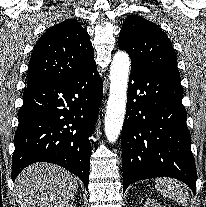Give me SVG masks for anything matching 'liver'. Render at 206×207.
Here are the masks:
<instances>
[{
	"mask_svg": "<svg viewBox=\"0 0 206 207\" xmlns=\"http://www.w3.org/2000/svg\"><path fill=\"white\" fill-rule=\"evenodd\" d=\"M77 190L76 177L62 167L47 163L25 168L15 183L19 207H64Z\"/></svg>",
	"mask_w": 206,
	"mask_h": 207,
	"instance_id": "obj_1",
	"label": "liver"
}]
</instances>
